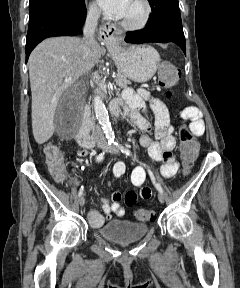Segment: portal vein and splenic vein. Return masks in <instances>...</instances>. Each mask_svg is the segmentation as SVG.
I'll return each instance as SVG.
<instances>
[{"mask_svg":"<svg viewBox=\"0 0 240 288\" xmlns=\"http://www.w3.org/2000/svg\"><path fill=\"white\" fill-rule=\"evenodd\" d=\"M70 80H71V78H66V79H65V81H70Z\"/></svg>","mask_w":240,"mask_h":288,"instance_id":"1","label":"portal vein and splenic vein"}]
</instances>
